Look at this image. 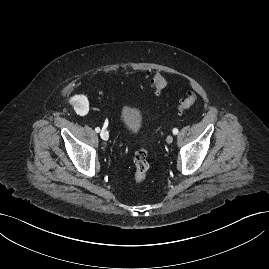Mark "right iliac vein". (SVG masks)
<instances>
[{"label":"right iliac vein","instance_id":"63e3f726","mask_svg":"<svg viewBox=\"0 0 269 269\" xmlns=\"http://www.w3.org/2000/svg\"><path fill=\"white\" fill-rule=\"evenodd\" d=\"M100 137L103 139V140H108L109 138V133L107 130L103 129L101 130L100 132Z\"/></svg>","mask_w":269,"mask_h":269}]
</instances>
